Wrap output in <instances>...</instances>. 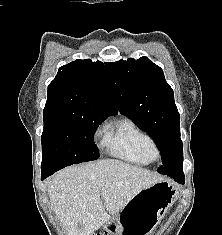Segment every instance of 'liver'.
Returning <instances> with one entry per match:
<instances>
[{
  "mask_svg": "<svg viewBox=\"0 0 222 235\" xmlns=\"http://www.w3.org/2000/svg\"><path fill=\"white\" fill-rule=\"evenodd\" d=\"M160 181V175L144 168L107 159L58 171L48 181V195L68 235H91L141 190Z\"/></svg>",
  "mask_w": 222,
  "mask_h": 235,
  "instance_id": "6515ba94",
  "label": "liver"
}]
</instances>
